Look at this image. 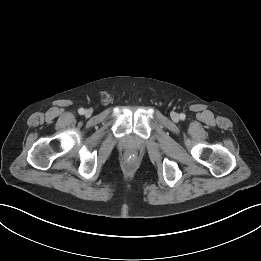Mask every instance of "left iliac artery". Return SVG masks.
Instances as JSON below:
<instances>
[{"instance_id": "1", "label": "left iliac artery", "mask_w": 261, "mask_h": 261, "mask_svg": "<svg viewBox=\"0 0 261 261\" xmlns=\"http://www.w3.org/2000/svg\"><path fill=\"white\" fill-rule=\"evenodd\" d=\"M185 117H186V116H185V114H183V113H182V114H180V119H181V120H184V119H185Z\"/></svg>"}]
</instances>
